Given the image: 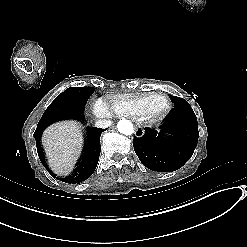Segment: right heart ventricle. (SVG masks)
Listing matches in <instances>:
<instances>
[{
	"label": "right heart ventricle",
	"mask_w": 247,
	"mask_h": 247,
	"mask_svg": "<svg viewBox=\"0 0 247 247\" xmlns=\"http://www.w3.org/2000/svg\"><path fill=\"white\" fill-rule=\"evenodd\" d=\"M152 93L106 95L99 101L107 117H127L141 111Z\"/></svg>",
	"instance_id": "obj_1"
}]
</instances>
